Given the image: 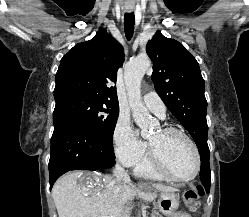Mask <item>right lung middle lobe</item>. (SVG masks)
<instances>
[{
  "mask_svg": "<svg viewBox=\"0 0 249 217\" xmlns=\"http://www.w3.org/2000/svg\"><path fill=\"white\" fill-rule=\"evenodd\" d=\"M54 98V112L69 114L91 133L107 141L112 140L119 115L118 104L75 92L59 94Z\"/></svg>",
  "mask_w": 249,
  "mask_h": 217,
  "instance_id": "dd1d6c3e",
  "label": "right lung middle lobe"
}]
</instances>
